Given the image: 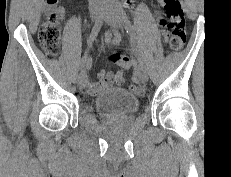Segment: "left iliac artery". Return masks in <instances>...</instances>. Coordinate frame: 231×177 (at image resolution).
Returning <instances> with one entry per match:
<instances>
[{
    "instance_id": "1",
    "label": "left iliac artery",
    "mask_w": 231,
    "mask_h": 177,
    "mask_svg": "<svg viewBox=\"0 0 231 177\" xmlns=\"http://www.w3.org/2000/svg\"><path fill=\"white\" fill-rule=\"evenodd\" d=\"M115 8L118 11V13L120 14L122 23H123L127 33L129 34L131 40H132L133 56H134L135 60H137L138 66L144 67L145 66L144 58H142V55L140 53L139 41H136V34H135L134 27L131 24L122 4L116 3Z\"/></svg>"
}]
</instances>
